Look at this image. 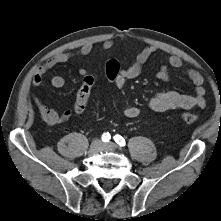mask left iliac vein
I'll use <instances>...</instances> for the list:
<instances>
[{
  "instance_id": "1",
  "label": "left iliac vein",
  "mask_w": 221,
  "mask_h": 221,
  "mask_svg": "<svg viewBox=\"0 0 221 221\" xmlns=\"http://www.w3.org/2000/svg\"><path fill=\"white\" fill-rule=\"evenodd\" d=\"M102 148L109 151H114L117 145L114 142H108L102 145Z\"/></svg>"
}]
</instances>
